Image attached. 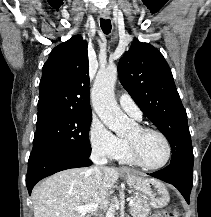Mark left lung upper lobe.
<instances>
[{"label": "left lung upper lobe", "instance_id": "left-lung-upper-lobe-1", "mask_svg": "<svg viewBox=\"0 0 211 217\" xmlns=\"http://www.w3.org/2000/svg\"><path fill=\"white\" fill-rule=\"evenodd\" d=\"M120 82L149 120L168 139L173 163L193 164L187 114L163 55L135 40L118 64Z\"/></svg>", "mask_w": 211, "mask_h": 217}]
</instances>
